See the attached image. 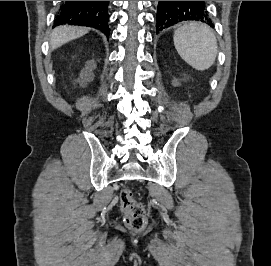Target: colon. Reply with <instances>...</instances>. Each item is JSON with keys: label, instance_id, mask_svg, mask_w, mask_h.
<instances>
[{"label": "colon", "instance_id": "colon-1", "mask_svg": "<svg viewBox=\"0 0 271 266\" xmlns=\"http://www.w3.org/2000/svg\"><path fill=\"white\" fill-rule=\"evenodd\" d=\"M120 200L126 211L125 222L128 227L136 232L144 230L147 223L145 208L140 204L129 188H124L120 194Z\"/></svg>", "mask_w": 271, "mask_h": 266}]
</instances>
